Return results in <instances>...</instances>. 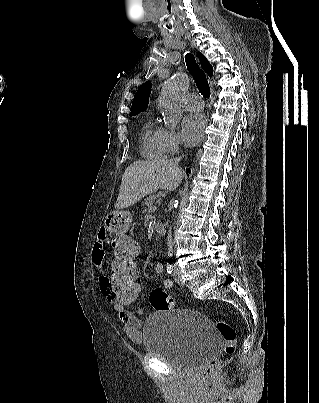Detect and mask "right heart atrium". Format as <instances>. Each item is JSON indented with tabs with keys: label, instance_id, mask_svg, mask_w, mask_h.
I'll use <instances>...</instances> for the list:
<instances>
[{
	"label": "right heart atrium",
	"instance_id": "d8ad5b80",
	"mask_svg": "<svg viewBox=\"0 0 319 403\" xmlns=\"http://www.w3.org/2000/svg\"><path fill=\"white\" fill-rule=\"evenodd\" d=\"M163 145L165 154L172 155L178 152L181 147L179 134L172 129H163Z\"/></svg>",
	"mask_w": 319,
	"mask_h": 403
}]
</instances>
